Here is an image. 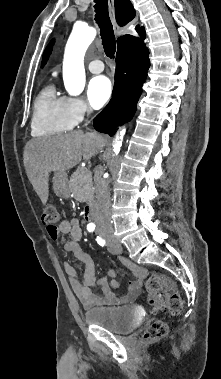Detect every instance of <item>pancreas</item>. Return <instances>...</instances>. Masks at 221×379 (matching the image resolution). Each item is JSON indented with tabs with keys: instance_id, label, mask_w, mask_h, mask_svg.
<instances>
[{
	"instance_id": "cf45deb5",
	"label": "pancreas",
	"mask_w": 221,
	"mask_h": 379,
	"mask_svg": "<svg viewBox=\"0 0 221 379\" xmlns=\"http://www.w3.org/2000/svg\"><path fill=\"white\" fill-rule=\"evenodd\" d=\"M69 190L74 194V198L80 202H90L94 198V188L92 176L88 169L79 168L72 175L68 182Z\"/></svg>"
}]
</instances>
